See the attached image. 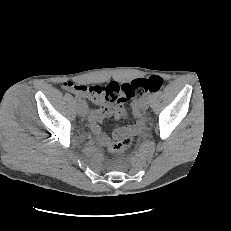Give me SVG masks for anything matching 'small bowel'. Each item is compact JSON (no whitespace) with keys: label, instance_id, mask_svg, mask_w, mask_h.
Returning a JSON list of instances; mask_svg holds the SVG:
<instances>
[{"label":"small bowel","instance_id":"c3829d8e","mask_svg":"<svg viewBox=\"0 0 231 231\" xmlns=\"http://www.w3.org/2000/svg\"><path fill=\"white\" fill-rule=\"evenodd\" d=\"M115 84L118 83L111 82L104 87L88 86L73 82H65L63 84V87L67 91L82 95L97 105V108L89 114V123L98 141L103 145L109 144L111 138L101 130L100 124L109 117H112L115 120H120L128 116L125 110V103L127 102V99L120 97L117 100H113L109 96L108 88L110 85ZM137 128L138 124L134 126L120 127L113 132L112 137L113 139H118L126 133L135 132Z\"/></svg>","mask_w":231,"mask_h":231}]
</instances>
